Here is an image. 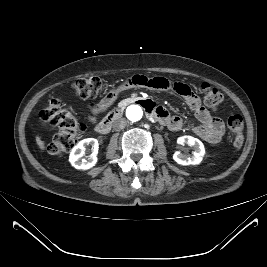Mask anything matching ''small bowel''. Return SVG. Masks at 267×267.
<instances>
[{
    "label": "small bowel",
    "mask_w": 267,
    "mask_h": 267,
    "mask_svg": "<svg viewBox=\"0 0 267 267\" xmlns=\"http://www.w3.org/2000/svg\"><path fill=\"white\" fill-rule=\"evenodd\" d=\"M132 87H145L153 90H161L175 93L182 97L188 107L194 111L195 118L199 122L193 128V132L203 140L209 143H218L225 133V125L220 118L214 117L202 105L198 95L185 83L168 80L163 77H146L134 75L118 86L112 88L97 106L98 110H104L114 103L119 94ZM160 122L165 124L173 131L181 130L184 127V121L179 116H170L162 107H158ZM95 111V108H93Z\"/></svg>",
    "instance_id": "small-bowel-1"
}]
</instances>
